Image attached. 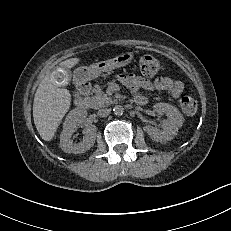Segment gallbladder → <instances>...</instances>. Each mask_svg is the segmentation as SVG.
Returning <instances> with one entry per match:
<instances>
[{"label":"gallbladder","instance_id":"gallbladder-1","mask_svg":"<svg viewBox=\"0 0 231 231\" xmlns=\"http://www.w3.org/2000/svg\"><path fill=\"white\" fill-rule=\"evenodd\" d=\"M49 78L56 86H65L71 79V72L66 67L54 66L49 71Z\"/></svg>","mask_w":231,"mask_h":231}]
</instances>
